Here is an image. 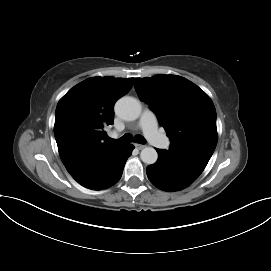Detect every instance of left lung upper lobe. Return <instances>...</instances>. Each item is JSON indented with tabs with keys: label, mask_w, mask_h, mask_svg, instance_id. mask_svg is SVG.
Here are the masks:
<instances>
[{
	"label": "left lung upper lobe",
	"mask_w": 271,
	"mask_h": 271,
	"mask_svg": "<svg viewBox=\"0 0 271 271\" xmlns=\"http://www.w3.org/2000/svg\"><path fill=\"white\" fill-rule=\"evenodd\" d=\"M134 86L166 130L171 151L211 158L217 144L216 110L205 92L177 75L135 78Z\"/></svg>",
	"instance_id": "1"
}]
</instances>
